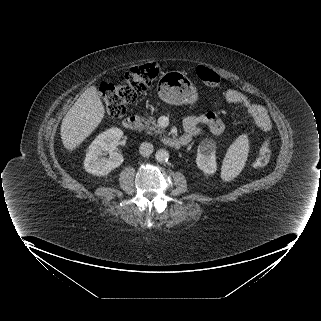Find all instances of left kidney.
I'll return each mask as SVG.
<instances>
[{
  "mask_svg": "<svg viewBox=\"0 0 321 321\" xmlns=\"http://www.w3.org/2000/svg\"><path fill=\"white\" fill-rule=\"evenodd\" d=\"M196 164L197 167L206 174L210 175L216 172V147L214 143L210 141L207 143H203L198 147ZM243 167L244 165L242 166L241 170L243 169Z\"/></svg>",
  "mask_w": 321,
  "mask_h": 321,
  "instance_id": "5707ae66",
  "label": "left kidney"
}]
</instances>
